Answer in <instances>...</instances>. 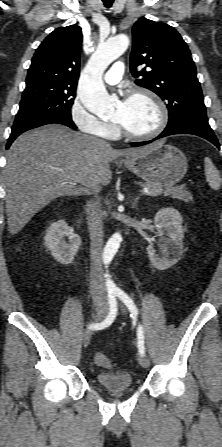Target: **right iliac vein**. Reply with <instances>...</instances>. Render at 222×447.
I'll return each instance as SVG.
<instances>
[{"mask_svg":"<svg viewBox=\"0 0 222 447\" xmlns=\"http://www.w3.org/2000/svg\"><path fill=\"white\" fill-rule=\"evenodd\" d=\"M106 311H107V308L105 306H99L97 308L96 314L94 316V321L101 320L103 318V316L105 315ZM91 335H92V331L90 329H86L83 332L82 340H83V345L85 347L88 346V344L90 343Z\"/></svg>","mask_w":222,"mask_h":447,"instance_id":"right-iliac-vein-1","label":"right iliac vein"}]
</instances>
